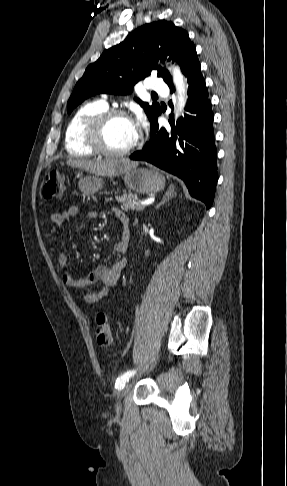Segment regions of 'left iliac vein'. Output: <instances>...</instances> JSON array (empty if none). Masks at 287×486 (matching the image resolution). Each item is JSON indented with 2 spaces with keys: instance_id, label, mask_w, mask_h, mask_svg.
<instances>
[{
  "instance_id": "4c4485c4",
  "label": "left iliac vein",
  "mask_w": 287,
  "mask_h": 486,
  "mask_svg": "<svg viewBox=\"0 0 287 486\" xmlns=\"http://www.w3.org/2000/svg\"><path fill=\"white\" fill-rule=\"evenodd\" d=\"M128 391H129V384H127V385H126V386H125V387H124V388L121 390V392H120V393H119V395H118V398H117V401H116V405H115V407H116V411H117L118 413H120V412H121V410H122V400H123V399H124V397L127 395Z\"/></svg>"
}]
</instances>
